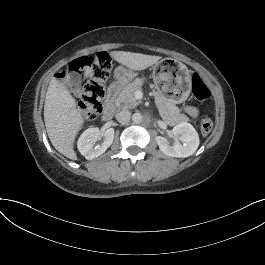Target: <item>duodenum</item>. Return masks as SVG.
<instances>
[{
	"label": "duodenum",
	"mask_w": 265,
	"mask_h": 265,
	"mask_svg": "<svg viewBox=\"0 0 265 265\" xmlns=\"http://www.w3.org/2000/svg\"><path fill=\"white\" fill-rule=\"evenodd\" d=\"M124 84V80L119 79L114 81L108 89L107 97L105 100V106L103 110V118L106 120L111 119L116 110V98L117 94L120 91L121 87Z\"/></svg>",
	"instance_id": "obj_1"
}]
</instances>
